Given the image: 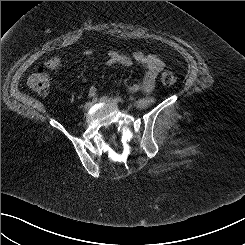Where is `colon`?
I'll return each mask as SVG.
<instances>
[{
	"label": "colon",
	"mask_w": 245,
	"mask_h": 245,
	"mask_svg": "<svg viewBox=\"0 0 245 245\" xmlns=\"http://www.w3.org/2000/svg\"><path fill=\"white\" fill-rule=\"evenodd\" d=\"M177 80L176 75L169 70L162 73L161 81L165 86L173 85ZM28 87L39 96H46L50 90V76L44 68H39L27 79Z\"/></svg>",
	"instance_id": "1"
}]
</instances>
